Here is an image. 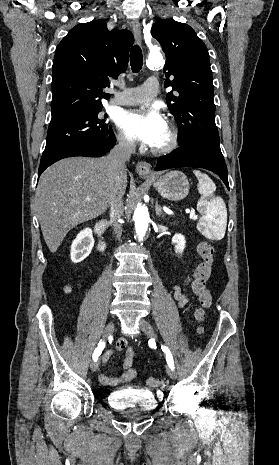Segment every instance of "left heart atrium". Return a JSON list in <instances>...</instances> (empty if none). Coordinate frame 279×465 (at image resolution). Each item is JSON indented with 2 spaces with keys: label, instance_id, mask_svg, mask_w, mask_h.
I'll use <instances>...</instances> for the list:
<instances>
[{
  "label": "left heart atrium",
  "instance_id": "left-heart-atrium-1",
  "mask_svg": "<svg viewBox=\"0 0 279 465\" xmlns=\"http://www.w3.org/2000/svg\"><path fill=\"white\" fill-rule=\"evenodd\" d=\"M119 123L130 138L150 146H153L166 127L165 120L156 109L125 113Z\"/></svg>",
  "mask_w": 279,
  "mask_h": 465
}]
</instances>
